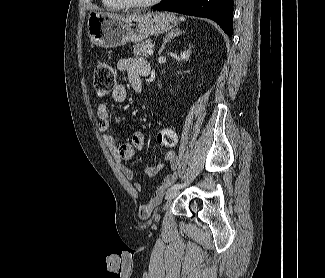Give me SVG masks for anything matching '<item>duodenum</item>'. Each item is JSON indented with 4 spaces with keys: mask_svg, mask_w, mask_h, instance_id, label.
<instances>
[{
    "mask_svg": "<svg viewBox=\"0 0 325 278\" xmlns=\"http://www.w3.org/2000/svg\"><path fill=\"white\" fill-rule=\"evenodd\" d=\"M147 70H148V75L150 74V71H151V69H150V66L147 68Z\"/></svg>",
    "mask_w": 325,
    "mask_h": 278,
    "instance_id": "410a0bca",
    "label": "duodenum"
}]
</instances>
